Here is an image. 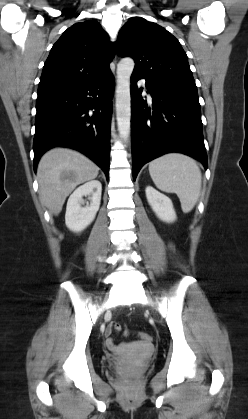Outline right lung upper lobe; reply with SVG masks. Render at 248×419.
Here are the masks:
<instances>
[{
  "instance_id": "cb5924a9",
  "label": "right lung upper lobe",
  "mask_w": 248,
  "mask_h": 419,
  "mask_svg": "<svg viewBox=\"0 0 248 419\" xmlns=\"http://www.w3.org/2000/svg\"><path fill=\"white\" fill-rule=\"evenodd\" d=\"M114 54V44L97 21L76 23L53 45L43 67L38 91L95 79L110 69Z\"/></svg>"
}]
</instances>
